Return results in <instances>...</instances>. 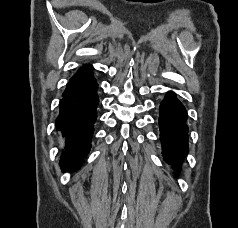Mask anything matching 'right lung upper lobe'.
Listing matches in <instances>:
<instances>
[{
	"label": "right lung upper lobe",
	"instance_id": "cb5924a9",
	"mask_svg": "<svg viewBox=\"0 0 238 228\" xmlns=\"http://www.w3.org/2000/svg\"><path fill=\"white\" fill-rule=\"evenodd\" d=\"M92 76L91 73V66L86 65L83 66L72 78L70 81H76V80H81L87 77Z\"/></svg>",
	"mask_w": 238,
	"mask_h": 228
}]
</instances>
